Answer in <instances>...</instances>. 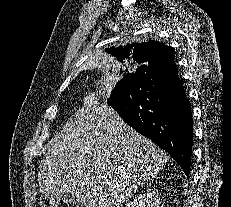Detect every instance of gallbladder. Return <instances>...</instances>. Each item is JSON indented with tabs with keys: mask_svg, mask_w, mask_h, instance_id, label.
Segmentation results:
<instances>
[{
	"mask_svg": "<svg viewBox=\"0 0 231 207\" xmlns=\"http://www.w3.org/2000/svg\"><path fill=\"white\" fill-rule=\"evenodd\" d=\"M63 200L65 203H69L73 206L79 207V205L84 204V200H82L79 196L76 194H68L63 196Z\"/></svg>",
	"mask_w": 231,
	"mask_h": 207,
	"instance_id": "gallbladder-1",
	"label": "gallbladder"
}]
</instances>
